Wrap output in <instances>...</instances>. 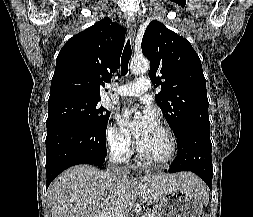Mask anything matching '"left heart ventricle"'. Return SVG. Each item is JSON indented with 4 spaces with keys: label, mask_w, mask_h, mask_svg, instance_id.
I'll return each mask as SVG.
<instances>
[{
    "label": "left heart ventricle",
    "mask_w": 253,
    "mask_h": 217,
    "mask_svg": "<svg viewBox=\"0 0 253 217\" xmlns=\"http://www.w3.org/2000/svg\"><path fill=\"white\" fill-rule=\"evenodd\" d=\"M139 142L141 151L146 157L152 160H163L167 157L170 144L166 133L158 126L153 128Z\"/></svg>",
    "instance_id": "left-heart-ventricle-1"
}]
</instances>
